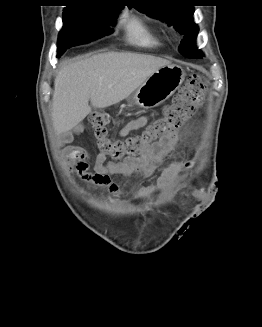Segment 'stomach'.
Here are the masks:
<instances>
[{
  "mask_svg": "<svg viewBox=\"0 0 262 327\" xmlns=\"http://www.w3.org/2000/svg\"><path fill=\"white\" fill-rule=\"evenodd\" d=\"M185 79L182 67L168 64L152 73L131 95L130 102L144 109L157 107L169 99Z\"/></svg>",
  "mask_w": 262,
  "mask_h": 327,
  "instance_id": "stomach-1",
  "label": "stomach"
}]
</instances>
